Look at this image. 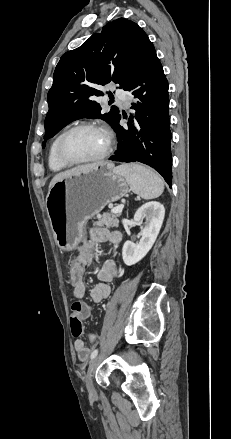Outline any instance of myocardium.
<instances>
[{
    "instance_id": "myocardium-1",
    "label": "myocardium",
    "mask_w": 231,
    "mask_h": 439,
    "mask_svg": "<svg viewBox=\"0 0 231 439\" xmlns=\"http://www.w3.org/2000/svg\"><path fill=\"white\" fill-rule=\"evenodd\" d=\"M81 129H97V130L102 131L106 135V138H107L106 147L101 154H99L95 157L89 158V159L77 160V159L71 158L66 153V150H65L66 139L68 138V136L70 134H72L73 132H75L77 130H81ZM113 145H114V137H113L112 132L107 127H105L104 125H101L99 123H95V122H82V123H78L76 125L71 126L70 128H68L67 130H65L64 132L61 133V135L58 139V142H57V154H58V157L60 158V160L62 162H64L65 164H67L68 166L83 165V164L99 162V161L105 159L112 152Z\"/></svg>"
}]
</instances>
